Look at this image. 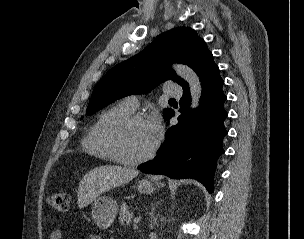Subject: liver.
Masks as SVG:
<instances>
[{"label": "liver", "instance_id": "liver-1", "mask_svg": "<svg viewBox=\"0 0 304 239\" xmlns=\"http://www.w3.org/2000/svg\"><path fill=\"white\" fill-rule=\"evenodd\" d=\"M138 175V171L126 167L99 166L83 176L77 192L80 209L92 203L100 194L124 185Z\"/></svg>", "mask_w": 304, "mask_h": 239}]
</instances>
